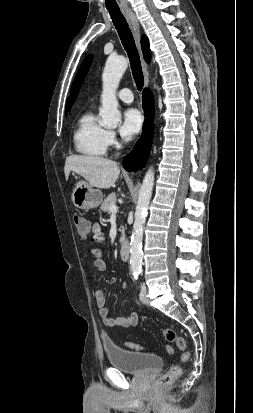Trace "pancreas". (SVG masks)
I'll list each match as a JSON object with an SVG mask.
<instances>
[{
    "label": "pancreas",
    "instance_id": "pancreas-1",
    "mask_svg": "<svg viewBox=\"0 0 253 413\" xmlns=\"http://www.w3.org/2000/svg\"><path fill=\"white\" fill-rule=\"evenodd\" d=\"M116 204V194L111 193L107 198L104 199V201L101 203V210L103 212L110 213V207ZM121 232H124V229L122 227Z\"/></svg>",
    "mask_w": 253,
    "mask_h": 413
}]
</instances>
